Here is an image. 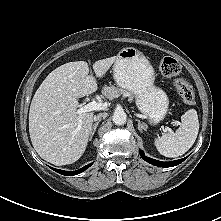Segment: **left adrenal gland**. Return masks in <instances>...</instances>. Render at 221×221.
<instances>
[{
	"label": "left adrenal gland",
	"mask_w": 221,
	"mask_h": 221,
	"mask_svg": "<svg viewBox=\"0 0 221 221\" xmlns=\"http://www.w3.org/2000/svg\"><path fill=\"white\" fill-rule=\"evenodd\" d=\"M136 121L138 122V129L140 132H142L143 130L146 131L147 130V126L145 124H141L140 120L136 119Z\"/></svg>",
	"instance_id": "1"
}]
</instances>
